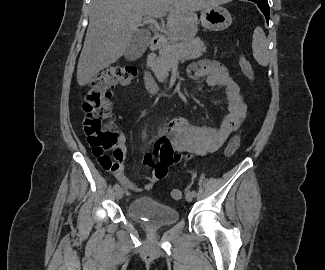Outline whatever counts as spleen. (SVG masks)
<instances>
[{
    "label": "spleen",
    "instance_id": "3e777b00",
    "mask_svg": "<svg viewBox=\"0 0 325 270\" xmlns=\"http://www.w3.org/2000/svg\"><path fill=\"white\" fill-rule=\"evenodd\" d=\"M252 49L258 64L266 67L269 63L268 41L263 29L259 26L255 28L252 36Z\"/></svg>",
    "mask_w": 325,
    "mask_h": 270
}]
</instances>
